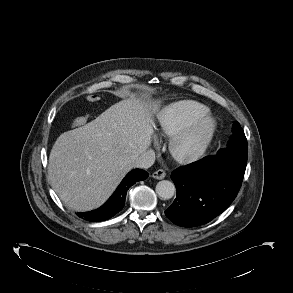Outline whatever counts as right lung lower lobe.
Wrapping results in <instances>:
<instances>
[{
	"label": "right lung lower lobe",
	"mask_w": 293,
	"mask_h": 293,
	"mask_svg": "<svg viewBox=\"0 0 293 293\" xmlns=\"http://www.w3.org/2000/svg\"><path fill=\"white\" fill-rule=\"evenodd\" d=\"M147 177L148 173L142 169L132 170L125 176L116 191L104 205L96 210L78 213L77 215L85 218L87 221H104L113 217L123 209L129 187L138 181L145 180Z\"/></svg>",
	"instance_id": "98d812e1"
}]
</instances>
